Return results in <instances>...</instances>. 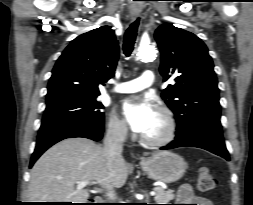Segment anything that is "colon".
<instances>
[{
    "mask_svg": "<svg viewBox=\"0 0 253 205\" xmlns=\"http://www.w3.org/2000/svg\"><path fill=\"white\" fill-rule=\"evenodd\" d=\"M197 185L202 193H207L216 187V179L208 167L203 166L198 170Z\"/></svg>",
    "mask_w": 253,
    "mask_h": 205,
    "instance_id": "obj_1",
    "label": "colon"
}]
</instances>
